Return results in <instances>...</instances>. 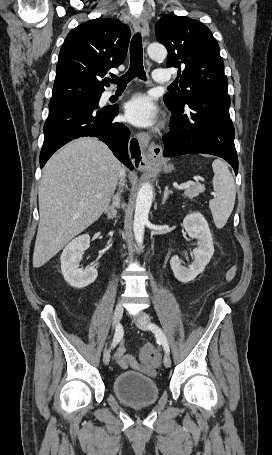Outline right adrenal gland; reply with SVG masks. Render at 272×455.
<instances>
[{
    "mask_svg": "<svg viewBox=\"0 0 272 455\" xmlns=\"http://www.w3.org/2000/svg\"><path fill=\"white\" fill-rule=\"evenodd\" d=\"M120 207V198L119 196L113 197L112 204L108 206L104 213L107 214L109 219H114L117 215V208Z\"/></svg>",
    "mask_w": 272,
    "mask_h": 455,
    "instance_id": "right-adrenal-gland-1",
    "label": "right adrenal gland"
}]
</instances>
